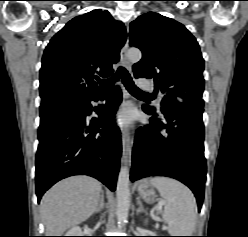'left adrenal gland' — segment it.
Instances as JSON below:
<instances>
[{"mask_svg": "<svg viewBox=\"0 0 248 237\" xmlns=\"http://www.w3.org/2000/svg\"><path fill=\"white\" fill-rule=\"evenodd\" d=\"M137 204H138V209H137V214H140V213H146L144 208H143V205H142V202L140 200V198H137Z\"/></svg>", "mask_w": 248, "mask_h": 237, "instance_id": "a2214340", "label": "left adrenal gland"}]
</instances>
